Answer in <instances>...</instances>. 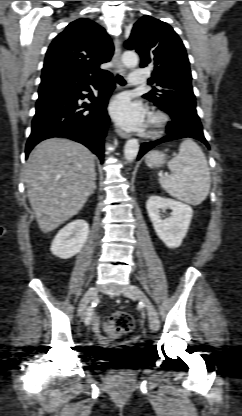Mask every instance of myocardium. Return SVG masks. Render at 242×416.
<instances>
[{
	"label": "myocardium",
	"instance_id": "f54148a6",
	"mask_svg": "<svg viewBox=\"0 0 242 416\" xmlns=\"http://www.w3.org/2000/svg\"><path fill=\"white\" fill-rule=\"evenodd\" d=\"M168 122V117L161 112H151L147 119L146 134L148 136H157L162 133Z\"/></svg>",
	"mask_w": 242,
	"mask_h": 416
}]
</instances>
